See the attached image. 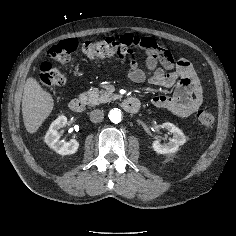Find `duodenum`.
<instances>
[{"label":"duodenum","mask_w":236,"mask_h":236,"mask_svg":"<svg viewBox=\"0 0 236 236\" xmlns=\"http://www.w3.org/2000/svg\"><path fill=\"white\" fill-rule=\"evenodd\" d=\"M85 101L81 98H74L69 103V108L75 113L85 110ZM122 108L128 113H136L140 108V101L135 97H128L122 101Z\"/></svg>","instance_id":"410a0bca"}]
</instances>
